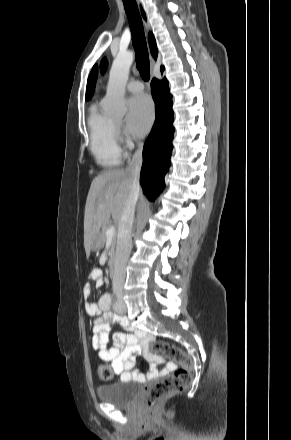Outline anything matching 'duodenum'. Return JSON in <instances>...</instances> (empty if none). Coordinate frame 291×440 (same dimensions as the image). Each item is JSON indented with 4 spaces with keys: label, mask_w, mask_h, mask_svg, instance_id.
<instances>
[{
    "label": "duodenum",
    "mask_w": 291,
    "mask_h": 440,
    "mask_svg": "<svg viewBox=\"0 0 291 440\" xmlns=\"http://www.w3.org/2000/svg\"><path fill=\"white\" fill-rule=\"evenodd\" d=\"M108 271H109V276H110L111 278H114V277H115V274H116V269H115V262H114V259H113V258H110V259H109V262H108Z\"/></svg>",
    "instance_id": "obj_1"
}]
</instances>
